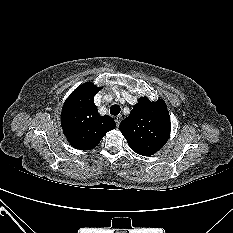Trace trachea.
I'll return each instance as SVG.
<instances>
[{"label": "trachea", "mask_w": 233, "mask_h": 233, "mask_svg": "<svg viewBox=\"0 0 233 233\" xmlns=\"http://www.w3.org/2000/svg\"><path fill=\"white\" fill-rule=\"evenodd\" d=\"M120 106L115 104V105H112L111 108H110V113L114 116L118 115L120 113Z\"/></svg>", "instance_id": "3493384b"}]
</instances>
